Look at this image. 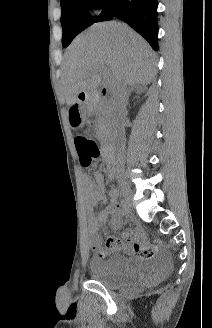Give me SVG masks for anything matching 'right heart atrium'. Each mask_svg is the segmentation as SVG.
Returning a JSON list of instances; mask_svg holds the SVG:
<instances>
[{
  "instance_id": "obj_1",
  "label": "right heart atrium",
  "mask_w": 212,
  "mask_h": 328,
  "mask_svg": "<svg viewBox=\"0 0 212 328\" xmlns=\"http://www.w3.org/2000/svg\"><path fill=\"white\" fill-rule=\"evenodd\" d=\"M91 5L95 14H100L104 11V3L101 0H92Z\"/></svg>"
}]
</instances>
